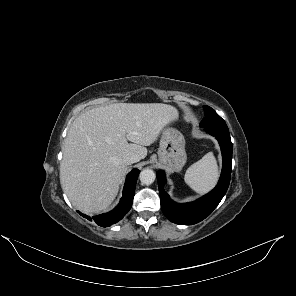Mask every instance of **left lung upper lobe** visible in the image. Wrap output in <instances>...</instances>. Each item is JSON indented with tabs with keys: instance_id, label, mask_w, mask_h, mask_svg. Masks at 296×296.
Wrapping results in <instances>:
<instances>
[{
	"instance_id": "5c2ea615",
	"label": "left lung upper lobe",
	"mask_w": 296,
	"mask_h": 296,
	"mask_svg": "<svg viewBox=\"0 0 296 296\" xmlns=\"http://www.w3.org/2000/svg\"><path fill=\"white\" fill-rule=\"evenodd\" d=\"M205 117L201 121V127H227L225 121L209 106H204Z\"/></svg>"
}]
</instances>
